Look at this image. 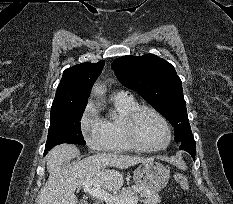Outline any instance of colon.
<instances>
[{
  "instance_id": "5ec220e1",
  "label": "colon",
  "mask_w": 233,
  "mask_h": 204,
  "mask_svg": "<svg viewBox=\"0 0 233 204\" xmlns=\"http://www.w3.org/2000/svg\"><path fill=\"white\" fill-rule=\"evenodd\" d=\"M175 180L178 182V184L185 190L188 189L189 185H188V181L186 179V177L180 173H176L175 174Z\"/></svg>"
}]
</instances>
